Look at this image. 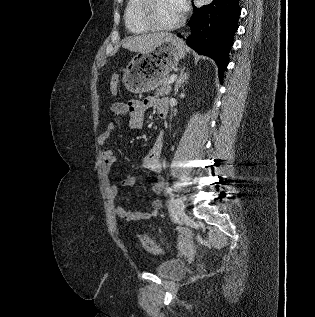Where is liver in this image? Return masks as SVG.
Instances as JSON below:
<instances>
[{
  "instance_id": "obj_1",
  "label": "liver",
  "mask_w": 315,
  "mask_h": 317,
  "mask_svg": "<svg viewBox=\"0 0 315 317\" xmlns=\"http://www.w3.org/2000/svg\"><path fill=\"white\" fill-rule=\"evenodd\" d=\"M170 36L168 33H152L129 37L123 43V48L131 52L151 51L163 38Z\"/></svg>"
}]
</instances>
